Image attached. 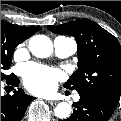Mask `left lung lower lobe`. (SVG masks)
<instances>
[{"mask_svg": "<svg viewBox=\"0 0 121 121\" xmlns=\"http://www.w3.org/2000/svg\"><path fill=\"white\" fill-rule=\"evenodd\" d=\"M79 95V102L73 104V114L59 121H107L117 107L95 94L81 92Z\"/></svg>", "mask_w": 121, "mask_h": 121, "instance_id": "left-lung-lower-lobe-1", "label": "left lung lower lobe"}]
</instances>
